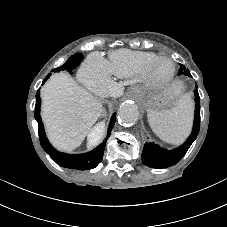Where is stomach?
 I'll return each instance as SVG.
<instances>
[{
    "label": "stomach",
    "mask_w": 227,
    "mask_h": 227,
    "mask_svg": "<svg viewBox=\"0 0 227 227\" xmlns=\"http://www.w3.org/2000/svg\"><path fill=\"white\" fill-rule=\"evenodd\" d=\"M166 103H167V99L165 97H157V98H154V100L149 101V105L156 109H160L164 107Z\"/></svg>",
    "instance_id": "obj_1"
}]
</instances>
